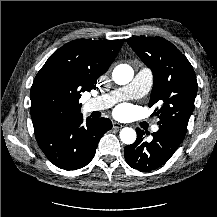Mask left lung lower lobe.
Masks as SVG:
<instances>
[{
    "label": "left lung lower lobe",
    "mask_w": 217,
    "mask_h": 217,
    "mask_svg": "<svg viewBox=\"0 0 217 217\" xmlns=\"http://www.w3.org/2000/svg\"><path fill=\"white\" fill-rule=\"evenodd\" d=\"M137 139L124 149V155L130 167L140 171H151L165 164L177 150L185 133L167 126L159 125V130L152 133L150 142L144 140V131L137 128Z\"/></svg>",
    "instance_id": "0a47b994"
}]
</instances>
